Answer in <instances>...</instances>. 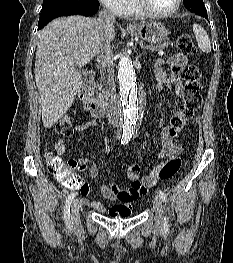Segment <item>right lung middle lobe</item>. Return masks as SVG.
I'll return each instance as SVG.
<instances>
[{"label":"right lung middle lobe","instance_id":"1","mask_svg":"<svg viewBox=\"0 0 233 263\" xmlns=\"http://www.w3.org/2000/svg\"><path fill=\"white\" fill-rule=\"evenodd\" d=\"M83 3L100 5L98 0H43L39 23L49 22L59 16L71 15Z\"/></svg>","mask_w":233,"mask_h":263}]
</instances>
